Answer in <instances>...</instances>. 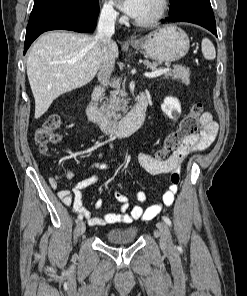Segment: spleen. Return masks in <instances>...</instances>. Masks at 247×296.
I'll list each match as a JSON object with an SVG mask.
<instances>
[{
	"mask_svg": "<svg viewBox=\"0 0 247 296\" xmlns=\"http://www.w3.org/2000/svg\"><path fill=\"white\" fill-rule=\"evenodd\" d=\"M201 48H202V53H203L205 59H207V60L215 59V57H216L215 47L209 39L204 38L202 40Z\"/></svg>",
	"mask_w": 247,
	"mask_h": 296,
	"instance_id": "spleen-1",
	"label": "spleen"
}]
</instances>
